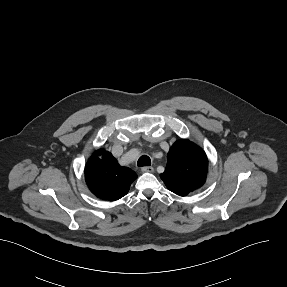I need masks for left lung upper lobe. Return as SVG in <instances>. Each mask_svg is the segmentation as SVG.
I'll list each match as a JSON object with an SVG mask.
<instances>
[{
  "instance_id": "5c2ea615",
  "label": "left lung upper lobe",
  "mask_w": 287,
  "mask_h": 287,
  "mask_svg": "<svg viewBox=\"0 0 287 287\" xmlns=\"http://www.w3.org/2000/svg\"><path fill=\"white\" fill-rule=\"evenodd\" d=\"M207 169L205 152L189 140L181 139L170 148L165 172L160 177L170 191L186 196L204 184Z\"/></svg>"
}]
</instances>
